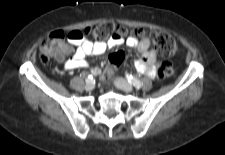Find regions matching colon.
Listing matches in <instances>:
<instances>
[{
	"label": "colon",
	"instance_id": "1",
	"mask_svg": "<svg viewBox=\"0 0 225 155\" xmlns=\"http://www.w3.org/2000/svg\"><path fill=\"white\" fill-rule=\"evenodd\" d=\"M86 38H91L96 41H103L111 37L125 38L129 32L126 28L115 25L114 23L104 21L96 25L87 27L83 30ZM67 34L62 30L52 32L42 43L40 48V60L42 63H48L52 58H61L69 50ZM135 36L144 35V30L136 29L133 32ZM151 41L154 47L164 56L174 55L177 50V42L173 36L168 33L155 31L150 34ZM122 59L121 53H116L110 56L109 62L100 75L102 83L107 84L113 77V73L118 69ZM153 69L158 72L161 79H169L175 75L173 66L169 63H164L162 60L153 62Z\"/></svg>",
	"mask_w": 225,
	"mask_h": 155
}]
</instances>
